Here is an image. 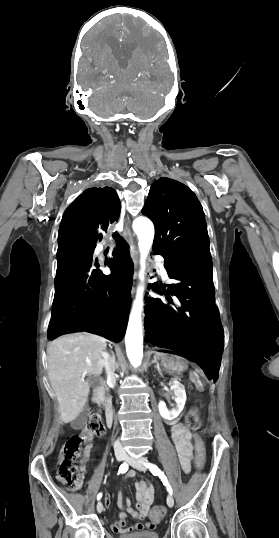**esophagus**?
<instances>
[{
	"label": "esophagus",
	"mask_w": 279,
	"mask_h": 538,
	"mask_svg": "<svg viewBox=\"0 0 279 538\" xmlns=\"http://www.w3.org/2000/svg\"><path fill=\"white\" fill-rule=\"evenodd\" d=\"M123 237L125 238L126 242L130 246L131 258L133 260V263H134V266H135V269H136L137 264H138V253H137V250H136V245H135V243L133 241V235H132L131 230H130V228L128 227L127 224L124 227Z\"/></svg>",
	"instance_id": "obj_1"
}]
</instances>
